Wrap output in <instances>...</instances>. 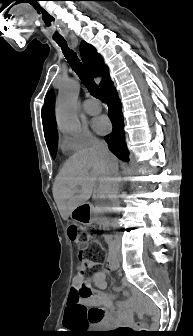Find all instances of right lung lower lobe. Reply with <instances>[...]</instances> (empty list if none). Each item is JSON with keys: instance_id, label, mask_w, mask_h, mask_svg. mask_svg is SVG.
Returning <instances> with one entry per match:
<instances>
[{"instance_id": "right-lung-lower-lobe-1", "label": "right lung lower lobe", "mask_w": 193, "mask_h": 336, "mask_svg": "<svg viewBox=\"0 0 193 336\" xmlns=\"http://www.w3.org/2000/svg\"><path fill=\"white\" fill-rule=\"evenodd\" d=\"M102 93L107 100L109 107V118L112 121L113 130L105 137L109 149L121 160L129 161V151L125 143L124 136V119L122 114V106L116 88L111 81L106 82L102 89Z\"/></svg>"}]
</instances>
